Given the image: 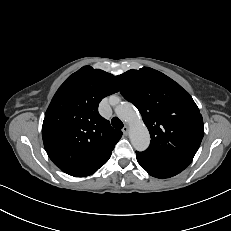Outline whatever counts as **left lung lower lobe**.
Masks as SVG:
<instances>
[{
	"label": "left lung lower lobe",
	"mask_w": 231,
	"mask_h": 231,
	"mask_svg": "<svg viewBox=\"0 0 231 231\" xmlns=\"http://www.w3.org/2000/svg\"><path fill=\"white\" fill-rule=\"evenodd\" d=\"M137 161L151 176L156 178H170L183 171L187 165L160 161L141 152H136Z\"/></svg>",
	"instance_id": "obj_1"
}]
</instances>
